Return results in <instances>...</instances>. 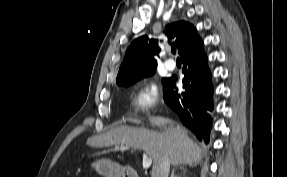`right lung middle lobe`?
I'll return each instance as SVG.
<instances>
[{
  "instance_id": "dd1d6c3e",
  "label": "right lung middle lobe",
  "mask_w": 287,
  "mask_h": 177,
  "mask_svg": "<svg viewBox=\"0 0 287 177\" xmlns=\"http://www.w3.org/2000/svg\"><path fill=\"white\" fill-rule=\"evenodd\" d=\"M154 73H155V70L152 71V72H150V73H148V74H146V75H144V76H142V77H140V78H138V79H135V80H132V81H128V82L118 83V85H119V86L127 87V86H130V85L134 84L136 81L140 80L141 78L150 76V75H152V74H154Z\"/></svg>"
}]
</instances>
